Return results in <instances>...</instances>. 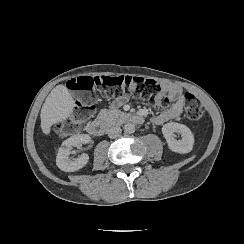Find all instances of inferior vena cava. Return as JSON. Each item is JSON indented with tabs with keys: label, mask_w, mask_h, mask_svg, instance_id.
<instances>
[{
	"label": "inferior vena cava",
	"mask_w": 244,
	"mask_h": 244,
	"mask_svg": "<svg viewBox=\"0 0 244 244\" xmlns=\"http://www.w3.org/2000/svg\"><path fill=\"white\" fill-rule=\"evenodd\" d=\"M121 132H122L121 128L117 125H114L109 128L108 136L110 138H116L121 134Z\"/></svg>",
	"instance_id": "inferior-vena-cava-1"
}]
</instances>
